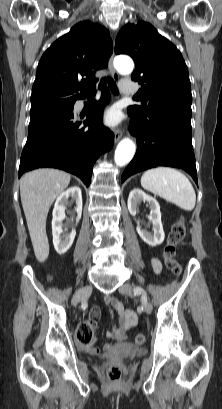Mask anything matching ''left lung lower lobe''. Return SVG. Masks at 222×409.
<instances>
[{"label":"left lung lower lobe","instance_id":"obj_1","mask_svg":"<svg viewBox=\"0 0 222 409\" xmlns=\"http://www.w3.org/2000/svg\"><path fill=\"white\" fill-rule=\"evenodd\" d=\"M128 114L130 132L136 136L138 147L121 181L146 169L170 166L184 169L197 183L191 118L174 110L148 116H137L129 111Z\"/></svg>","mask_w":222,"mask_h":409}]
</instances>
